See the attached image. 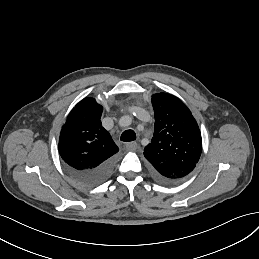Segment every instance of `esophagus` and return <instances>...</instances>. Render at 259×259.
I'll return each mask as SVG.
<instances>
[{
	"label": "esophagus",
	"mask_w": 259,
	"mask_h": 259,
	"mask_svg": "<svg viewBox=\"0 0 259 259\" xmlns=\"http://www.w3.org/2000/svg\"><path fill=\"white\" fill-rule=\"evenodd\" d=\"M138 148V144L136 142H130L126 144V149L129 151H135Z\"/></svg>",
	"instance_id": "1"
}]
</instances>
